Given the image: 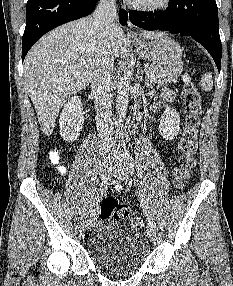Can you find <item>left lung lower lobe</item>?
I'll return each instance as SVG.
<instances>
[{
    "mask_svg": "<svg viewBox=\"0 0 233 286\" xmlns=\"http://www.w3.org/2000/svg\"><path fill=\"white\" fill-rule=\"evenodd\" d=\"M129 18L133 24L148 31L192 37L211 54L220 71L222 46L215 0H170L163 12L132 11Z\"/></svg>",
    "mask_w": 233,
    "mask_h": 286,
    "instance_id": "left-lung-lower-lobe-1",
    "label": "left lung lower lobe"
}]
</instances>
